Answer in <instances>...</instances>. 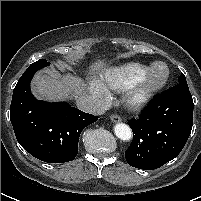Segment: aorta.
<instances>
[{
    "mask_svg": "<svg viewBox=\"0 0 201 201\" xmlns=\"http://www.w3.org/2000/svg\"><path fill=\"white\" fill-rule=\"evenodd\" d=\"M114 132L115 135L123 141H128L132 138L131 128L124 123H117L114 126Z\"/></svg>",
    "mask_w": 201,
    "mask_h": 201,
    "instance_id": "1",
    "label": "aorta"
}]
</instances>
